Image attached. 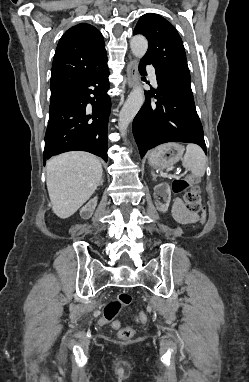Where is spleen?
<instances>
[{"instance_id":"obj_1","label":"spleen","mask_w":249,"mask_h":382,"mask_svg":"<svg viewBox=\"0 0 249 382\" xmlns=\"http://www.w3.org/2000/svg\"><path fill=\"white\" fill-rule=\"evenodd\" d=\"M206 155L196 144H188L182 159V165L196 177H202L206 170Z\"/></svg>"}]
</instances>
